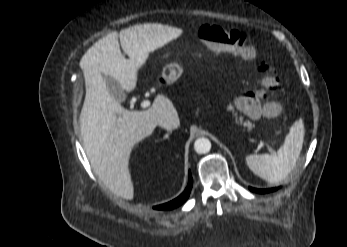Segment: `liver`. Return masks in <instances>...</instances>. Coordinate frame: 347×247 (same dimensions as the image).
Here are the masks:
<instances>
[{
  "instance_id": "6515ba94",
  "label": "liver",
  "mask_w": 347,
  "mask_h": 247,
  "mask_svg": "<svg viewBox=\"0 0 347 247\" xmlns=\"http://www.w3.org/2000/svg\"><path fill=\"white\" fill-rule=\"evenodd\" d=\"M181 32V29L156 23L135 25L119 34L114 31L90 47L80 61L86 86L80 114L86 155L108 188L128 200L134 197L129 170L134 146L153 133L160 118L178 119V114L172 101L162 94L157 95L147 110H126L109 93L103 75L116 80L123 91H133L138 70L149 53L177 38ZM118 37L129 59L122 55Z\"/></svg>"
}]
</instances>
